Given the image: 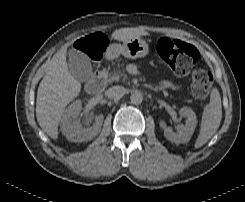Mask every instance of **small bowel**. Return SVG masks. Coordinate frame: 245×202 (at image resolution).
<instances>
[{
    "label": "small bowel",
    "mask_w": 245,
    "mask_h": 202,
    "mask_svg": "<svg viewBox=\"0 0 245 202\" xmlns=\"http://www.w3.org/2000/svg\"><path fill=\"white\" fill-rule=\"evenodd\" d=\"M177 87V84L167 80L160 81L155 85V88L158 90L176 89Z\"/></svg>",
    "instance_id": "1"
}]
</instances>
